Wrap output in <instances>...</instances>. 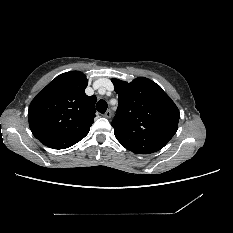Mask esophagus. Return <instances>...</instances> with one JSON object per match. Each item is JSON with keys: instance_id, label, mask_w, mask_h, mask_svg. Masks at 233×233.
I'll return each mask as SVG.
<instances>
[{"instance_id": "obj_1", "label": "esophagus", "mask_w": 233, "mask_h": 233, "mask_svg": "<svg viewBox=\"0 0 233 233\" xmlns=\"http://www.w3.org/2000/svg\"><path fill=\"white\" fill-rule=\"evenodd\" d=\"M111 115H112V112H111L110 110H107V111L103 114V116L106 117V118H110Z\"/></svg>"}]
</instances>
